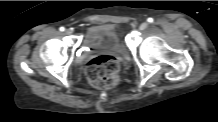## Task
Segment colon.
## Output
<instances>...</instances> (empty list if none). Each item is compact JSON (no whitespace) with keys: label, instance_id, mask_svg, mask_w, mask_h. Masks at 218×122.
<instances>
[{"label":"colon","instance_id":"obj_1","mask_svg":"<svg viewBox=\"0 0 218 122\" xmlns=\"http://www.w3.org/2000/svg\"><path fill=\"white\" fill-rule=\"evenodd\" d=\"M119 61L111 55H100L87 65L86 75L88 81L98 88H112L119 80Z\"/></svg>","mask_w":218,"mask_h":122}]
</instances>
